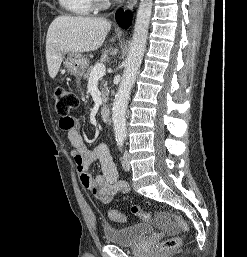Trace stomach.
<instances>
[{
	"label": "stomach",
	"instance_id": "stomach-1",
	"mask_svg": "<svg viewBox=\"0 0 247 257\" xmlns=\"http://www.w3.org/2000/svg\"><path fill=\"white\" fill-rule=\"evenodd\" d=\"M88 59L80 53L69 52L64 61V66L72 75L80 78L88 67Z\"/></svg>",
	"mask_w": 247,
	"mask_h": 257
}]
</instances>
